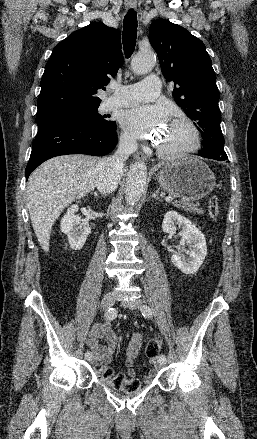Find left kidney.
I'll list each match as a JSON object with an SVG mask.
<instances>
[{
  "label": "left kidney",
  "mask_w": 257,
  "mask_h": 439,
  "mask_svg": "<svg viewBox=\"0 0 257 439\" xmlns=\"http://www.w3.org/2000/svg\"><path fill=\"white\" fill-rule=\"evenodd\" d=\"M177 228H182L178 253L171 257V262L183 273L194 274L202 265L207 254L204 234L190 220L175 211H168L163 219L164 233L173 234ZM185 245L189 250L185 249ZM180 252H186L187 257Z\"/></svg>",
  "instance_id": "obj_1"
}]
</instances>
